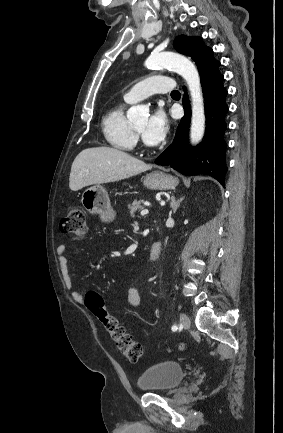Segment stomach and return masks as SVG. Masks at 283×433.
<instances>
[{
    "label": "stomach",
    "instance_id": "stomach-1",
    "mask_svg": "<svg viewBox=\"0 0 283 433\" xmlns=\"http://www.w3.org/2000/svg\"><path fill=\"white\" fill-rule=\"evenodd\" d=\"M143 184L148 188L169 190L178 184V178L171 176V174H165L161 170H154V172L146 174ZM81 202L88 212L100 214L102 221H110L115 217V210L110 204L109 194L101 184H93V186L86 188L82 194Z\"/></svg>",
    "mask_w": 283,
    "mask_h": 433
}]
</instances>
